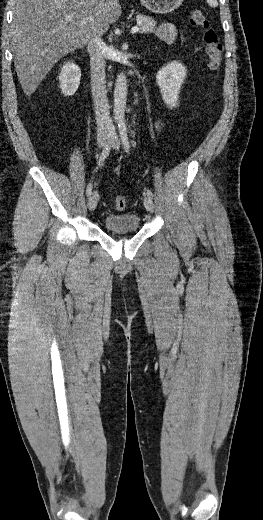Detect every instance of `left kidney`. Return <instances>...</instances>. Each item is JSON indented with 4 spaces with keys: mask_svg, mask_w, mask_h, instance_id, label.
Returning <instances> with one entry per match:
<instances>
[{
    "mask_svg": "<svg viewBox=\"0 0 263 520\" xmlns=\"http://www.w3.org/2000/svg\"><path fill=\"white\" fill-rule=\"evenodd\" d=\"M186 76L185 67L173 61L160 69L156 75L157 84L160 88L162 99L168 107H175L179 98L180 88Z\"/></svg>",
    "mask_w": 263,
    "mask_h": 520,
    "instance_id": "left-kidney-1",
    "label": "left kidney"
}]
</instances>
